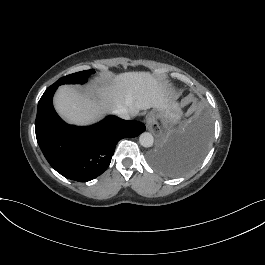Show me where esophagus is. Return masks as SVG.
<instances>
[{"label":"esophagus","mask_w":265,"mask_h":265,"mask_svg":"<svg viewBox=\"0 0 265 265\" xmlns=\"http://www.w3.org/2000/svg\"><path fill=\"white\" fill-rule=\"evenodd\" d=\"M146 127L148 131L153 133L155 136L162 133V129L160 128L159 123L155 120L153 115H149L146 118Z\"/></svg>","instance_id":"34e87169"}]
</instances>
